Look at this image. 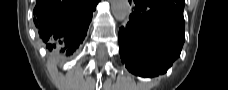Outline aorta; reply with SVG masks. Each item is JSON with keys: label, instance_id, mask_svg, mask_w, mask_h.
I'll return each instance as SVG.
<instances>
[{"label": "aorta", "instance_id": "762f6f07", "mask_svg": "<svg viewBox=\"0 0 228 90\" xmlns=\"http://www.w3.org/2000/svg\"><path fill=\"white\" fill-rule=\"evenodd\" d=\"M111 10L116 20L124 21L128 19L131 7L128 0H111Z\"/></svg>", "mask_w": 228, "mask_h": 90}]
</instances>
